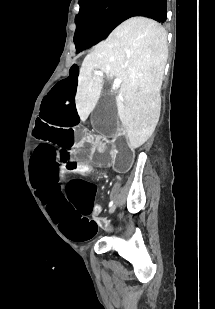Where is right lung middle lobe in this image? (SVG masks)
Instances as JSON below:
<instances>
[{"label":"right lung middle lobe","instance_id":"right-lung-middle-lobe-1","mask_svg":"<svg viewBox=\"0 0 215 309\" xmlns=\"http://www.w3.org/2000/svg\"><path fill=\"white\" fill-rule=\"evenodd\" d=\"M131 0H79L74 36L76 52L89 48L116 27L115 23Z\"/></svg>","mask_w":215,"mask_h":309}]
</instances>
